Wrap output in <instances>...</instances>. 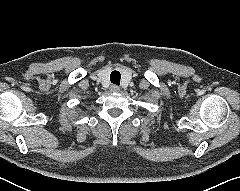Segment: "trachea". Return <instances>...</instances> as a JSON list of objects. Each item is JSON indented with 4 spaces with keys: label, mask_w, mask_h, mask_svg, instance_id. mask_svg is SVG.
I'll return each mask as SVG.
<instances>
[{
    "label": "trachea",
    "mask_w": 240,
    "mask_h": 191,
    "mask_svg": "<svg viewBox=\"0 0 240 191\" xmlns=\"http://www.w3.org/2000/svg\"><path fill=\"white\" fill-rule=\"evenodd\" d=\"M120 72L118 71H113L110 75V80L113 84L119 85L120 84Z\"/></svg>",
    "instance_id": "1"
}]
</instances>
